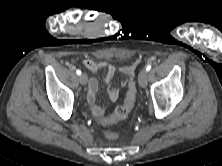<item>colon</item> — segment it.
Segmentation results:
<instances>
[{
	"mask_svg": "<svg viewBox=\"0 0 222 166\" xmlns=\"http://www.w3.org/2000/svg\"><path fill=\"white\" fill-rule=\"evenodd\" d=\"M136 92V83L134 79H131L128 83V89L123 104L117 107L116 110L110 116L104 118L101 121V125L106 127L108 125L114 124L118 121L125 119L134 107ZM106 136L107 138L113 140L117 137V134L112 131H107Z\"/></svg>",
	"mask_w": 222,
	"mask_h": 166,
	"instance_id": "5ec220e1",
	"label": "colon"
}]
</instances>
